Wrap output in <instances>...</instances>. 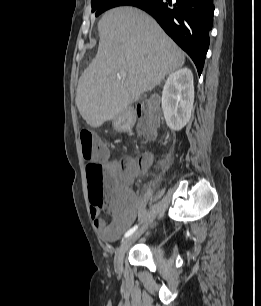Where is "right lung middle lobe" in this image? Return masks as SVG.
<instances>
[{"instance_id":"1","label":"right lung middle lobe","mask_w":261,"mask_h":306,"mask_svg":"<svg viewBox=\"0 0 261 306\" xmlns=\"http://www.w3.org/2000/svg\"><path fill=\"white\" fill-rule=\"evenodd\" d=\"M136 1L137 0H91L92 12L98 16L110 8L121 5H131Z\"/></svg>"}]
</instances>
